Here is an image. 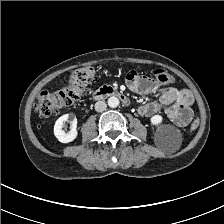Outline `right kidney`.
<instances>
[{
    "mask_svg": "<svg viewBox=\"0 0 224 224\" xmlns=\"http://www.w3.org/2000/svg\"><path fill=\"white\" fill-rule=\"evenodd\" d=\"M65 122H69L71 127L69 132H65L62 127ZM77 118L74 114L62 115L54 125V135L61 143L72 142L78 135L77 132Z\"/></svg>",
    "mask_w": 224,
    "mask_h": 224,
    "instance_id": "1",
    "label": "right kidney"
}]
</instances>
